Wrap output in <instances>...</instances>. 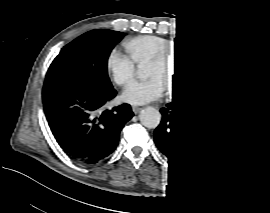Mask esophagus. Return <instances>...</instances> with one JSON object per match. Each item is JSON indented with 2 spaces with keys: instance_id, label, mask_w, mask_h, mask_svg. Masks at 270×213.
I'll list each match as a JSON object with an SVG mask.
<instances>
[{
  "instance_id": "obj_1",
  "label": "esophagus",
  "mask_w": 270,
  "mask_h": 213,
  "mask_svg": "<svg viewBox=\"0 0 270 213\" xmlns=\"http://www.w3.org/2000/svg\"><path fill=\"white\" fill-rule=\"evenodd\" d=\"M141 108L136 106V105H132V111L136 114L138 113V111L140 110Z\"/></svg>"
}]
</instances>
